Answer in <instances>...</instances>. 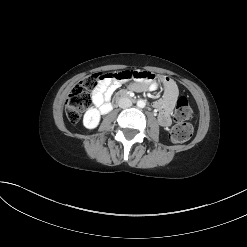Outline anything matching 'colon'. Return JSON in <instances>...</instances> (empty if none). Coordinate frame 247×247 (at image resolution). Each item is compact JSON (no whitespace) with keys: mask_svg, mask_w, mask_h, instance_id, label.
<instances>
[{"mask_svg":"<svg viewBox=\"0 0 247 247\" xmlns=\"http://www.w3.org/2000/svg\"><path fill=\"white\" fill-rule=\"evenodd\" d=\"M104 77H106V74H92L83 79L72 89L66 104V115L71 123H77L80 120L83 111L91 103L89 91L96 89ZM192 116L193 110L187 99L185 97H180L177 101L174 112L177 124L170 133V139L172 142L183 143L189 140L192 135V126L186 121L192 118Z\"/></svg>","mask_w":247,"mask_h":247,"instance_id":"obj_1","label":"colon"}]
</instances>
